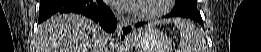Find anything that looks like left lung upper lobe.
<instances>
[{"label":"left lung upper lobe","mask_w":261,"mask_h":52,"mask_svg":"<svg viewBox=\"0 0 261 52\" xmlns=\"http://www.w3.org/2000/svg\"><path fill=\"white\" fill-rule=\"evenodd\" d=\"M174 12L190 15L197 20H202L200 12L197 9V0H176Z\"/></svg>","instance_id":"left-lung-upper-lobe-1"}]
</instances>
